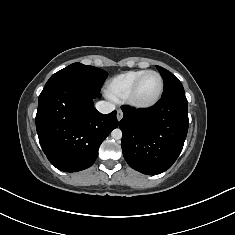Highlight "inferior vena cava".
I'll return each mask as SVG.
<instances>
[{
  "mask_svg": "<svg viewBox=\"0 0 235 235\" xmlns=\"http://www.w3.org/2000/svg\"><path fill=\"white\" fill-rule=\"evenodd\" d=\"M95 107L102 114H108L115 110V105L106 101L97 102Z\"/></svg>",
  "mask_w": 235,
  "mask_h": 235,
  "instance_id": "inferior-vena-cava-1",
  "label": "inferior vena cava"
}]
</instances>
